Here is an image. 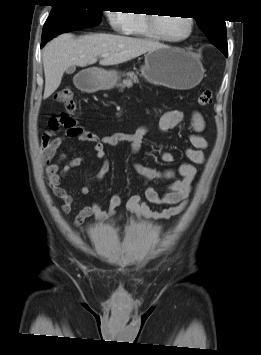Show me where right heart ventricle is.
<instances>
[{
    "label": "right heart ventricle",
    "instance_id": "1",
    "mask_svg": "<svg viewBox=\"0 0 261 355\" xmlns=\"http://www.w3.org/2000/svg\"><path fill=\"white\" fill-rule=\"evenodd\" d=\"M130 17L131 23L127 34L142 38H155V36L148 29L147 13L133 12L130 14Z\"/></svg>",
    "mask_w": 261,
    "mask_h": 355
}]
</instances>
